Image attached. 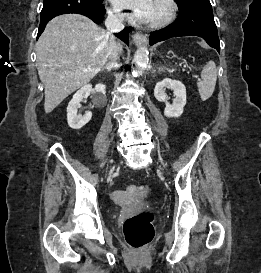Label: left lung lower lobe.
Listing matches in <instances>:
<instances>
[{"mask_svg":"<svg viewBox=\"0 0 261 273\" xmlns=\"http://www.w3.org/2000/svg\"><path fill=\"white\" fill-rule=\"evenodd\" d=\"M177 20L159 31L151 32L150 45L177 36H199L220 53L217 27L209 0H187L178 4Z\"/></svg>","mask_w":261,"mask_h":273,"instance_id":"0a47b994","label":"left lung lower lobe"}]
</instances>
